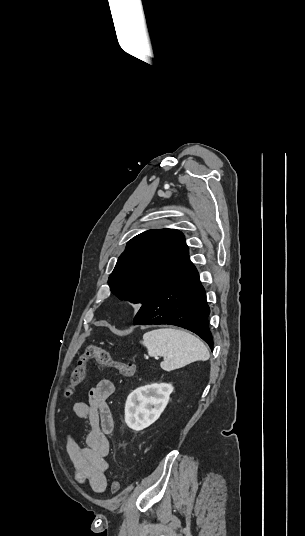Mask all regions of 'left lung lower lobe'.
Listing matches in <instances>:
<instances>
[{
    "mask_svg": "<svg viewBox=\"0 0 305 536\" xmlns=\"http://www.w3.org/2000/svg\"><path fill=\"white\" fill-rule=\"evenodd\" d=\"M209 313L205 290L192 264L141 306L134 318V325L170 324L183 327L196 333L213 350L208 327Z\"/></svg>",
    "mask_w": 305,
    "mask_h": 536,
    "instance_id": "obj_1",
    "label": "left lung lower lobe"
}]
</instances>
